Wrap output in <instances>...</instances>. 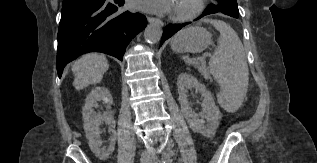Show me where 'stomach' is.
Returning <instances> with one entry per match:
<instances>
[{
	"label": "stomach",
	"mask_w": 317,
	"mask_h": 163,
	"mask_svg": "<svg viewBox=\"0 0 317 163\" xmlns=\"http://www.w3.org/2000/svg\"><path fill=\"white\" fill-rule=\"evenodd\" d=\"M212 44V35L203 27H188L171 40V48L179 53H198Z\"/></svg>",
	"instance_id": "0dacf381"
}]
</instances>
